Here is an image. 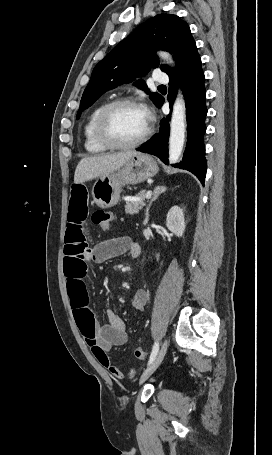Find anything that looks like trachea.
Listing matches in <instances>:
<instances>
[{
    "label": "trachea",
    "instance_id": "obj_1",
    "mask_svg": "<svg viewBox=\"0 0 272 455\" xmlns=\"http://www.w3.org/2000/svg\"><path fill=\"white\" fill-rule=\"evenodd\" d=\"M159 88H165V86L164 85H160Z\"/></svg>",
    "mask_w": 272,
    "mask_h": 455
}]
</instances>
